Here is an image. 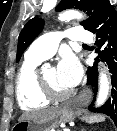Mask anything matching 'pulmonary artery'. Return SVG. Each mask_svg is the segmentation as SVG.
<instances>
[{
  "label": "pulmonary artery",
  "instance_id": "e3ab8cb5",
  "mask_svg": "<svg viewBox=\"0 0 117 131\" xmlns=\"http://www.w3.org/2000/svg\"><path fill=\"white\" fill-rule=\"evenodd\" d=\"M67 36L75 42L90 43L92 35L82 27H73L67 31ZM64 37L62 32H50L39 37L26 52V58L46 60L54 55L59 42Z\"/></svg>",
  "mask_w": 117,
  "mask_h": 131
}]
</instances>
